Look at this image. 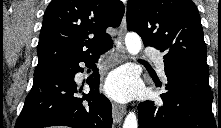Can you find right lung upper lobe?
<instances>
[{
	"label": "right lung upper lobe",
	"instance_id": "1",
	"mask_svg": "<svg viewBox=\"0 0 221 128\" xmlns=\"http://www.w3.org/2000/svg\"><path fill=\"white\" fill-rule=\"evenodd\" d=\"M123 14L119 0H52L43 17L34 76L98 55L112 43L106 28L118 27Z\"/></svg>",
	"mask_w": 221,
	"mask_h": 128
}]
</instances>
